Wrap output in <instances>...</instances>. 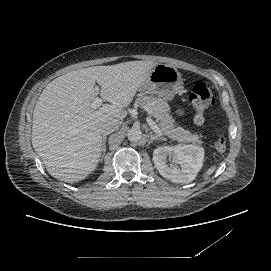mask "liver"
<instances>
[{"label":"liver","instance_id":"1","mask_svg":"<svg viewBox=\"0 0 271 271\" xmlns=\"http://www.w3.org/2000/svg\"><path fill=\"white\" fill-rule=\"evenodd\" d=\"M156 65L129 61L73 70L44 88L34 109L32 146L51 176L80 182L97 169L102 125L128 116L126 108ZM96 83L108 104L92 105Z\"/></svg>","mask_w":271,"mask_h":271}]
</instances>
